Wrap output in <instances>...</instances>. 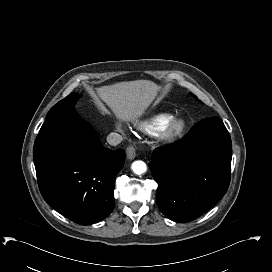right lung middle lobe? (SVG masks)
<instances>
[{"instance_id": "dd1d6c3e", "label": "right lung middle lobe", "mask_w": 272, "mask_h": 272, "mask_svg": "<svg viewBox=\"0 0 272 272\" xmlns=\"http://www.w3.org/2000/svg\"><path fill=\"white\" fill-rule=\"evenodd\" d=\"M80 96L81 94L71 93L66 98L59 101L56 105H54L48 112L46 118L50 117L52 114L58 111L68 110L73 108V106L76 104V101L79 99Z\"/></svg>"}]
</instances>
